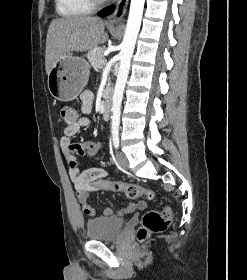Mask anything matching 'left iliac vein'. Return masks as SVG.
Listing matches in <instances>:
<instances>
[{"label":"left iliac vein","instance_id":"obj_1","mask_svg":"<svg viewBox=\"0 0 247 280\" xmlns=\"http://www.w3.org/2000/svg\"><path fill=\"white\" fill-rule=\"evenodd\" d=\"M116 157H117V161H118L120 168H122L124 170L129 168V162L124 153L117 152Z\"/></svg>","mask_w":247,"mask_h":280}]
</instances>
